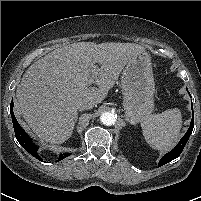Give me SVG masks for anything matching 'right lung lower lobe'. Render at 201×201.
I'll return each instance as SVG.
<instances>
[{
  "mask_svg": "<svg viewBox=\"0 0 201 201\" xmlns=\"http://www.w3.org/2000/svg\"><path fill=\"white\" fill-rule=\"evenodd\" d=\"M10 113L12 117V122L14 126L15 136L20 145L33 157H36L38 160H42L41 156L38 153V146L33 142V140L28 136V134L22 129V127L17 122L14 113H13V101H11L10 105ZM70 153H62L59 155V158L57 161H60L64 159L65 157H68Z\"/></svg>",
  "mask_w": 201,
  "mask_h": 201,
  "instance_id": "obj_1",
  "label": "right lung lower lobe"
}]
</instances>
